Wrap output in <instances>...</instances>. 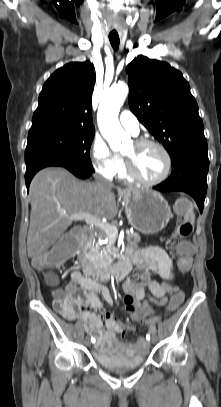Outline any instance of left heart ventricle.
<instances>
[{"label":"left heart ventricle","instance_id":"left-heart-ventricle-1","mask_svg":"<svg viewBox=\"0 0 221 407\" xmlns=\"http://www.w3.org/2000/svg\"><path fill=\"white\" fill-rule=\"evenodd\" d=\"M123 153L133 159L136 169L146 179L156 180L165 173V156L156 147L138 148L131 143Z\"/></svg>","mask_w":221,"mask_h":407}]
</instances>
